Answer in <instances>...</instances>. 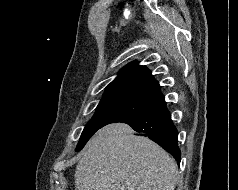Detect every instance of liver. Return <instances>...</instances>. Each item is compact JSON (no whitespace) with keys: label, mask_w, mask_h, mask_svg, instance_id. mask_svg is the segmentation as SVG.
<instances>
[{"label":"liver","mask_w":238,"mask_h":190,"mask_svg":"<svg viewBox=\"0 0 238 190\" xmlns=\"http://www.w3.org/2000/svg\"><path fill=\"white\" fill-rule=\"evenodd\" d=\"M175 160L124 123L107 125L88 142L75 172V190H174Z\"/></svg>","instance_id":"6515ba94"}]
</instances>
